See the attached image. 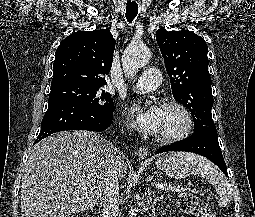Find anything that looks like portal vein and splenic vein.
Listing matches in <instances>:
<instances>
[{
    "label": "portal vein and splenic vein",
    "mask_w": 255,
    "mask_h": 217,
    "mask_svg": "<svg viewBox=\"0 0 255 217\" xmlns=\"http://www.w3.org/2000/svg\"><path fill=\"white\" fill-rule=\"evenodd\" d=\"M158 188L168 190V191H175V192H184L186 188L183 186H172V185H157Z\"/></svg>",
    "instance_id": "obj_1"
}]
</instances>
